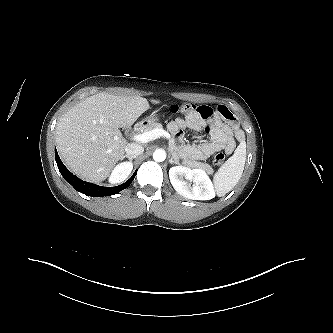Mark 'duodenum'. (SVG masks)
<instances>
[{"mask_svg": "<svg viewBox=\"0 0 333 333\" xmlns=\"http://www.w3.org/2000/svg\"><path fill=\"white\" fill-rule=\"evenodd\" d=\"M146 127V122L142 121V122H138L136 125H135V130L137 132H140L142 131L144 128Z\"/></svg>", "mask_w": 333, "mask_h": 333, "instance_id": "1", "label": "duodenum"}]
</instances>
